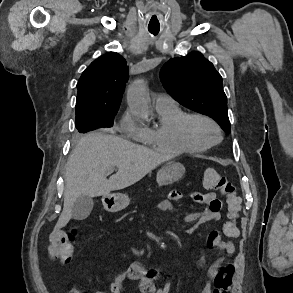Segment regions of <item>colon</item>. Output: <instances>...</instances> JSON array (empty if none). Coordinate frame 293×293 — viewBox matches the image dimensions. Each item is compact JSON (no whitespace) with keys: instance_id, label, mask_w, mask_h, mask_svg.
Returning <instances> with one entry per match:
<instances>
[{"instance_id":"obj_1","label":"colon","mask_w":293,"mask_h":293,"mask_svg":"<svg viewBox=\"0 0 293 293\" xmlns=\"http://www.w3.org/2000/svg\"><path fill=\"white\" fill-rule=\"evenodd\" d=\"M202 183L206 189L218 190L226 197L228 220L223 224L222 233L226 237H237L239 231L236 218L240 211L241 198L236 193L235 187L215 169H206L203 172ZM78 233V228H72L67 232L53 233L47 248L49 257L58 259L62 263H69L74 257V244ZM234 271L235 268L230 262L221 267L214 278L213 293H228L232 285Z\"/></svg>"}]
</instances>
